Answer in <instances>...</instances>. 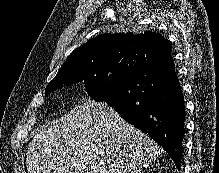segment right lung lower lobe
I'll use <instances>...</instances> for the list:
<instances>
[{
	"instance_id": "right-lung-lower-lobe-1",
	"label": "right lung lower lobe",
	"mask_w": 219,
	"mask_h": 173,
	"mask_svg": "<svg viewBox=\"0 0 219 173\" xmlns=\"http://www.w3.org/2000/svg\"><path fill=\"white\" fill-rule=\"evenodd\" d=\"M105 102L161 145L180 169L185 107L172 58L139 64L120 80Z\"/></svg>"
}]
</instances>
